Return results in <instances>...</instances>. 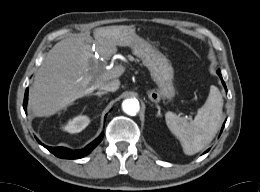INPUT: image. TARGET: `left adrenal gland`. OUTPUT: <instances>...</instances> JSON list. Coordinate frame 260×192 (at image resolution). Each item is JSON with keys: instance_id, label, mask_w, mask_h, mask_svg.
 Wrapping results in <instances>:
<instances>
[{"instance_id": "left-adrenal-gland-1", "label": "left adrenal gland", "mask_w": 260, "mask_h": 192, "mask_svg": "<svg viewBox=\"0 0 260 192\" xmlns=\"http://www.w3.org/2000/svg\"><path fill=\"white\" fill-rule=\"evenodd\" d=\"M157 109H158V112H157V116L161 117V109L159 107V105H156Z\"/></svg>"}]
</instances>
